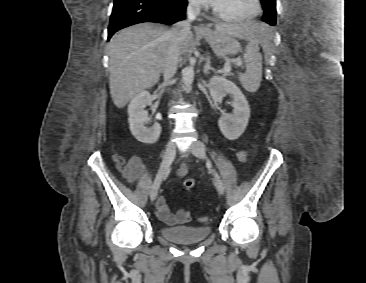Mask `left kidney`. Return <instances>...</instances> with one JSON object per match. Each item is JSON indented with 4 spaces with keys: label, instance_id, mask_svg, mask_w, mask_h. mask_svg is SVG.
Masks as SVG:
<instances>
[{
    "label": "left kidney",
    "instance_id": "obj_1",
    "mask_svg": "<svg viewBox=\"0 0 366 283\" xmlns=\"http://www.w3.org/2000/svg\"><path fill=\"white\" fill-rule=\"evenodd\" d=\"M209 90L215 105L222 103L223 97L230 94L233 98V113L221 110L218 126L223 136L229 140L238 139L245 131L250 118V107L239 87L221 76H213L209 81Z\"/></svg>",
    "mask_w": 366,
    "mask_h": 283
}]
</instances>
